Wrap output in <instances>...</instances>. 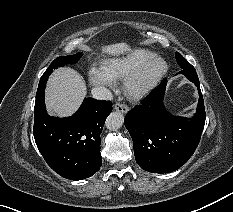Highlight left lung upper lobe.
<instances>
[{"instance_id":"1","label":"left lung upper lobe","mask_w":233,"mask_h":212,"mask_svg":"<svg viewBox=\"0 0 233 212\" xmlns=\"http://www.w3.org/2000/svg\"><path fill=\"white\" fill-rule=\"evenodd\" d=\"M176 60L178 62V64L181 66L182 71H180L179 73L183 74L186 71L189 72H196L194 67L188 63L185 58L178 52H176Z\"/></svg>"}]
</instances>
